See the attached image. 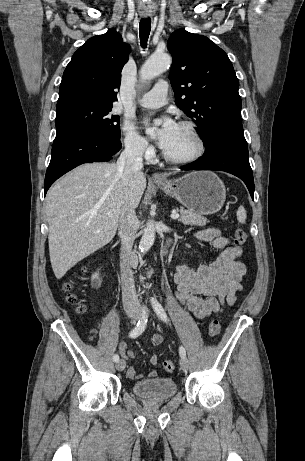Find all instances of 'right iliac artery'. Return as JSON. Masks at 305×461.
I'll use <instances>...</instances> for the list:
<instances>
[{"label":"right iliac artery","instance_id":"right-iliac-artery-1","mask_svg":"<svg viewBox=\"0 0 305 461\" xmlns=\"http://www.w3.org/2000/svg\"><path fill=\"white\" fill-rule=\"evenodd\" d=\"M148 316H147V312L146 310L143 308L142 309V316L141 318L139 319L138 323L136 324V326L131 330V332L129 333V337L131 338H136L138 337L139 335L142 334V332L145 330L146 328V325H147V321H148ZM113 361L114 362H118L119 361V356L118 354H115L113 356Z\"/></svg>","mask_w":305,"mask_h":461}]
</instances>
